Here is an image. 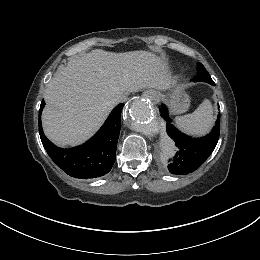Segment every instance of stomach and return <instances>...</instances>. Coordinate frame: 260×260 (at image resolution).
Here are the masks:
<instances>
[{
    "label": "stomach",
    "mask_w": 260,
    "mask_h": 260,
    "mask_svg": "<svg viewBox=\"0 0 260 260\" xmlns=\"http://www.w3.org/2000/svg\"><path fill=\"white\" fill-rule=\"evenodd\" d=\"M155 94L157 98H160L169 104L170 112L172 114H182L189 109L190 97L181 88H176L167 95L158 92Z\"/></svg>",
    "instance_id": "obj_1"
}]
</instances>
